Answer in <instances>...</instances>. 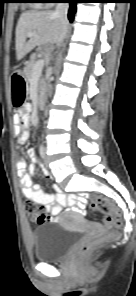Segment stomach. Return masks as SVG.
Segmentation results:
<instances>
[{"label": "stomach", "instance_id": "stomach-1", "mask_svg": "<svg viewBox=\"0 0 136 296\" xmlns=\"http://www.w3.org/2000/svg\"><path fill=\"white\" fill-rule=\"evenodd\" d=\"M12 84H26V79L23 74H12ZM27 85H11L10 98H12L13 108H23L24 101L28 100Z\"/></svg>", "mask_w": 136, "mask_h": 296}]
</instances>
